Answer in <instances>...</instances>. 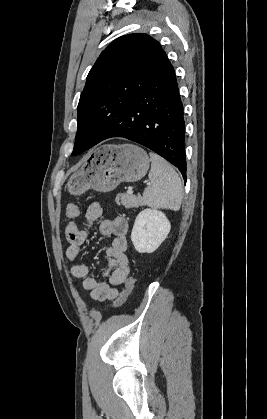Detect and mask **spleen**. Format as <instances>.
<instances>
[{"instance_id":"1","label":"spleen","mask_w":267,"mask_h":419,"mask_svg":"<svg viewBox=\"0 0 267 419\" xmlns=\"http://www.w3.org/2000/svg\"><path fill=\"white\" fill-rule=\"evenodd\" d=\"M152 164L149 172L151 185L143 193V202L153 208L178 211L183 198L181 179L174 168L161 156L149 153Z\"/></svg>"}]
</instances>
